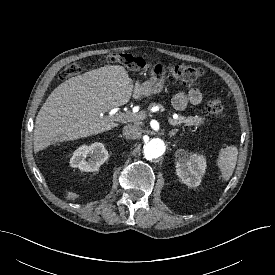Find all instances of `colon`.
Wrapping results in <instances>:
<instances>
[{"mask_svg":"<svg viewBox=\"0 0 275 275\" xmlns=\"http://www.w3.org/2000/svg\"><path fill=\"white\" fill-rule=\"evenodd\" d=\"M107 61L120 63L131 69L144 68L145 63L138 57L127 53H111L107 56ZM81 72V67L77 63L69 65L61 74L62 79L76 76ZM171 77L178 83L186 85L198 80L203 71L199 67L191 65H173L169 68ZM206 110L217 118H223L226 114L225 106L219 98L209 99L206 103Z\"/></svg>","mask_w":275,"mask_h":275,"instance_id":"colon-1","label":"colon"}]
</instances>
